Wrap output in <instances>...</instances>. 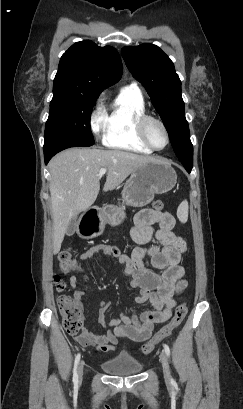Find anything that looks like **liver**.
Here are the masks:
<instances>
[{
	"mask_svg": "<svg viewBox=\"0 0 243 409\" xmlns=\"http://www.w3.org/2000/svg\"><path fill=\"white\" fill-rule=\"evenodd\" d=\"M153 160L118 149L96 148H71L53 157L49 163L53 253L60 251L70 220L95 202L100 191V169L108 171L103 190L111 191L135 169Z\"/></svg>",
	"mask_w": 243,
	"mask_h": 409,
	"instance_id": "1",
	"label": "liver"
}]
</instances>
